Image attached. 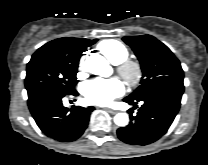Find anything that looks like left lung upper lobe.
Wrapping results in <instances>:
<instances>
[{
    "mask_svg": "<svg viewBox=\"0 0 208 165\" xmlns=\"http://www.w3.org/2000/svg\"><path fill=\"white\" fill-rule=\"evenodd\" d=\"M123 41L132 47L142 70L141 85L126 98L138 99L163 86H184L180 62L162 42L151 35L126 36Z\"/></svg>",
    "mask_w": 208,
    "mask_h": 165,
    "instance_id": "obj_1",
    "label": "left lung upper lobe"
}]
</instances>
